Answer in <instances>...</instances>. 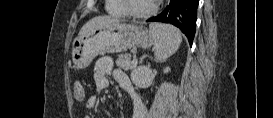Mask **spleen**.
<instances>
[{"mask_svg":"<svg viewBox=\"0 0 273 118\" xmlns=\"http://www.w3.org/2000/svg\"><path fill=\"white\" fill-rule=\"evenodd\" d=\"M150 34L154 41L155 59L160 62L174 54L182 42L179 30L168 24H150Z\"/></svg>","mask_w":273,"mask_h":118,"instance_id":"obj_1","label":"spleen"}]
</instances>
